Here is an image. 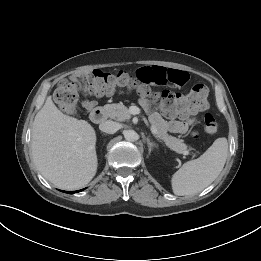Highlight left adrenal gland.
Masks as SVG:
<instances>
[{
	"label": "left adrenal gland",
	"instance_id": "left-adrenal-gland-1",
	"mask_svg": "<svg viewBox=\"0 0 261 261\" xmlns=\"http://www.w3.org/2000/svg\"><path fill=\"white\" fill-rule=\"evenodd\" d=\"M146 141H147V145H148V152H149V154L151 153V151H152L154 148H158V146L156 145V143L151 142L149 138H146Z\"/></svg>",
	"mask_w": 261,
	"mask_h": 261
}]
</instances>
